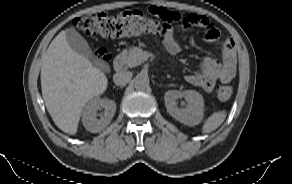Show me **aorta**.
<instances>
[{"label": "aorta", "mask_w": 292, "mask_h": 184, "mask_svg": "<svg viewBox=\"0 0 292 184\" xmlns=\"http://www.w3.org/2000/svg\"><path fill=\"white\" fill-rule=\"evenodd\" d=\"M133 85L137 90H145L149 87V78L146 74H138L134 80Z\"/></svg>", "instance_id": "1"}]
</instances>
